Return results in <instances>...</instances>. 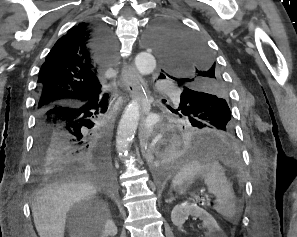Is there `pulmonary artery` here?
<instances>
[{
	"mask_svg": "<svg viewBox=\"0 0 297 237\" xmlns=\"http://www.w3.org/2000/svg\"><path fill=\"white\" fill-rule=\"evenodd\" d=\"M157 88L161 89V90H171L172 89V84L168 83V82H161V83L158 84Z\"/></svg>",
	"mask_w": 297,
	"mask_h": 237,
	"instance_id": "pulmonary-artery-1",
	"label": "pulmonary artery"
}]
</instances>
